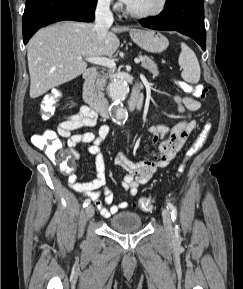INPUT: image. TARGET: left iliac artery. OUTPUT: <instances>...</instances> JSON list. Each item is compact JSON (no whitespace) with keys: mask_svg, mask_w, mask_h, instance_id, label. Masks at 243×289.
I'll use <instances>...</instances> for the list:
<instances>
[{"mask_svg":"<svg viewBox=\"0 0 243 289\" xmlns=\"http://www.w3.org/2000/svg\"><path fill=\"white\" fill-rule=\"evenodd\" d=\"M167 207L171 211V217H172L173 221L176 222V220H177V209H176V207L172 203H170L169 201H167ZM176 228H177V226H176Z\"/></svg>","mask_w":243,"mask_h":289,"instance_id":"left-iliac-artery-1","label":"left iliac artery"}]
</instances>
